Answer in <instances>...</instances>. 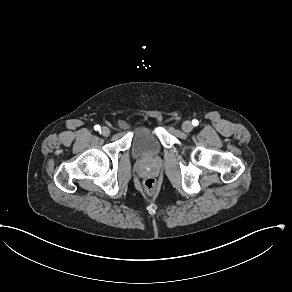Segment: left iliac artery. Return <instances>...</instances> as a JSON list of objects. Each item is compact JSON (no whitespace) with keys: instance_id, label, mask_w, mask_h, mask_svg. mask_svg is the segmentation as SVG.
Instances as JSON below:
<instances>
[{"instance_id":"obj_1","label":"left iliac artery","mask_w":292,"mask_h":292,"mask_svg":"<svg viewBox=\"0 0 292 292\" xmlns=\"http://www.w3.org/2000/svg\"><path fill=\"white\" fill-rule=\"evenodd\" d=\"M192 124H193V126H197V125L199 124V122H198V120L194 119V120L192 121Z\"/></svg>"}]
</instances>
